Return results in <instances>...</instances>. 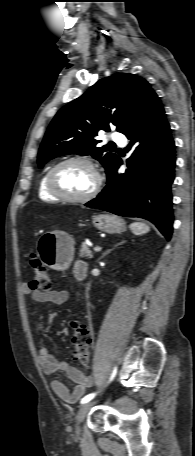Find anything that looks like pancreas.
Returning a JSON list of instances; mask_svg holds the SVG:
<instances>
[{
  "label": "pancreas",
  "instance_id": "1",
  "mask_svg": "<svg viewBox=\"0 0 195 456\" xmlns=\"http://www.w3.org/2000/svg\"><path fill=\"white\" fill-rule=\"evenodd\" d=\"M80 257H85V258H92L93 253L90 251L88 245L86 243H82L80 251H79Z\"/></svg>",
  "mask_w": 195,
  "mask_h": 456
}]
</instances>
